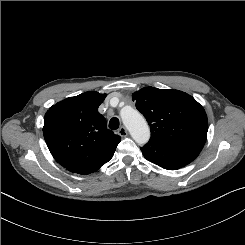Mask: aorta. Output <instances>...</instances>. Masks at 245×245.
Returning a JSON list of instances; mask_svg holds the SVG:
<instances>
[{
  "instance_id": "1",
  "label": "aorta",
  "mask_w": 245,
  "mask_h": 245,
  "mask_svg": "<svg viewBox=\"0 0 245 245\" xmlns=\"http://www.w3.org/2000/svg\"><path fill=\"white\" fill-rule=\"evenodd\" d=\"M121 118L132 138L140 145L148 142L150 130L144 117L136 110L128 108L122 111Z\"/></svg>"
}]
</instances>
